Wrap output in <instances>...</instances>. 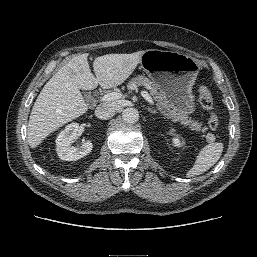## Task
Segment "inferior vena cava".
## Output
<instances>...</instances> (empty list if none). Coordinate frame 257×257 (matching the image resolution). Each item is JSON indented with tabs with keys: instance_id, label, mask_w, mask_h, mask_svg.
<instances>
[{
	"instance_id": "obj_1",
	"label": "inferior vena cava",
	"mask_w": 257,
	"mask_h": 257,
	"mask_svg": "<svg viewBox=\"0 0 257 257\" xmlns=\"http://www.w3.org/2000/svg\"><path fill=\"white\" fill-rule=\"evenodd\" d=\"M118 105L113 103L100 104L95 110V116L101 120L111 118L117 111Z\"/></svg>"
}]
</instances>
